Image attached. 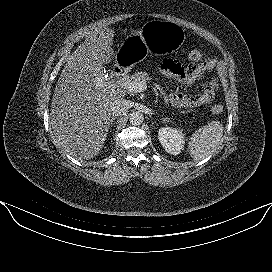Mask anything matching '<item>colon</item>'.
I'll return each instance as SVG.
<instances>
[{
    "label": "colon",
    "mask_w": 272,
    "mask_h": 272,
    "mask_svg": "<svg viewBox=\"0 0 272 272\" xmlns=\"http://www.w3.org/2000/svg\"><path fill=\"white\" fill-rule=\"evenodd\" d=\"M188 59H189V61L190 62H192V63H200V62H202L203 61V54H202V52L201 51H199V50H193L190 54H189V56H188ZM212 113L213 114H220V113H222V111H223V107L221 106V105H219V104H216V105H214L213 107H212Z\"/></svg>",
    "instance_id": "obj_1"
}]
</instances>
